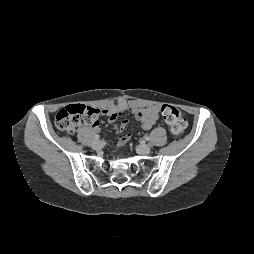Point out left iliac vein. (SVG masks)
Wrapping results in <instances>:
<instances>
[{
	"label": "left iliac vein",
	"mask_w": 254,
	"mask_h": 254,
	"mask_svg": "<svg viewBox=\"0 0 254 254\" xmlns=\"http://www.w3.org/2000/svg\"><path fill=\"white\" fill-rule=\"evenodd\" d=\"M137 150L140 154H149L151 151V148L149 145L141 144L137 147Z\"/></svg>",
	"instance_id": "4c4485c4"
}]
</instances>
